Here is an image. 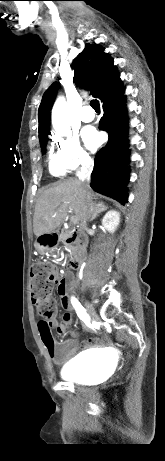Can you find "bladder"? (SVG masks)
Listing matches in <instances>:
<instances>
[{"instance_id": "obj_1", "label": "bladder", "mask_w": 165, "mask_h": 461, "mask_svg": "<svg viewBox=\"0 0 165 461\" xmlns=\"http://www.w3.org/2000/svg\"><path fill=\"white\" fill-rule=\"evenodd\" d=\"M107 362L108 358L102 352H85L68 362L62 368L60 376L76 384L93 382L101 376Z\"/></svg>"}]
</instances>
